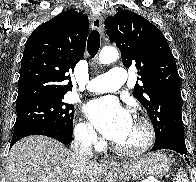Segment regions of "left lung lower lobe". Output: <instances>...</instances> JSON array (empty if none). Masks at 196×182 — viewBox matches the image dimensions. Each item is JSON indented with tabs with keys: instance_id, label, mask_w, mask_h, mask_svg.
Here are the masks:
<instances>
[{
	"instance_id": "0a47b994",
	"label": "left lung lower lobe",
	"mask_w": 196,
	"mask_h": 182,
	"mask_svg": "<svg viewBox=\"0 0 196 182\" xmlns=\"http://www.w3.org/2000/svg\"><path fill=\"white\" fill-rule=\"evenodd\" d=\"M161 149H169L177 153H180L181 155H184V156L187 155V148L185 145V141H179L176 139H166L158 143H155L151 151H156V150H161ZM185 159L189 163V159L188 158H185Z\"/></svg>"
}]
</instances>
